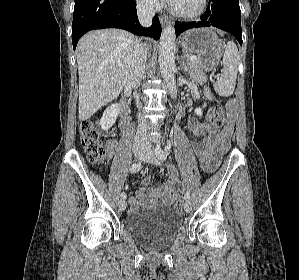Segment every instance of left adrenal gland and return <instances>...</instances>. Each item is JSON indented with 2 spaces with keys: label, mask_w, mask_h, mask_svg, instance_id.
I'll list each match as a JSON object with an SVG mask.
<instances>
[{
  "label": "left adrenal gland",
  "mask_w": 299,
  "mask_h": 280,
  "mask_svg": "<svg viewBox=\"0 0 299 280\" xmlns=\"http://www.w3.org/2000/svg\"><path fill=\"white\" fill-rule=\"evenodd\" d=\"M185 54H183L182 59L180 61V67L183 69L184 72H187L186 62H185Z\"/></svg>",
  "instance_id": "obj_1"
}]
</instances>
